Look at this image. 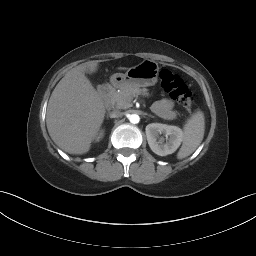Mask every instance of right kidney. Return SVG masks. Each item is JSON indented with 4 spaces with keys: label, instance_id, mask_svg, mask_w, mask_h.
<instances>
[{
    "label": "right kidney",
    "instance_id": "1",
    "mask_svg": "<svg viewBox=\"0 0 256 256\" xmlns=\"http://www.w3.org/2000/svg\"><path fill=\"white\" fill-rule=\"evenodd\" d=\"M102 137H103V132H101V133L98 135L97 141H98L100 138H102Z\"/></svg>",
    "mask_w": 256,
    "mask_h": 256
}]
</instances>
